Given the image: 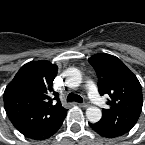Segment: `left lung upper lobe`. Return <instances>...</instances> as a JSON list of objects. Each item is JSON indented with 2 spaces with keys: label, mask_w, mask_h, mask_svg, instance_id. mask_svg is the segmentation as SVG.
<instances>
[{
  "label": "left lung upper lobe",
  "mask_w": 145,
  "mask_h": 145,
  "mask_svg": "<svg viewBox=\"0 0 145 145\" xmlns=\"http://www.w3.org/2000/svg\"><path fill=\"white\" fill-rule=\"evenodd\" d=\"M98 76L101 95L110 99L108 109L97 126L117 136L128 133L136 124L142 111V89L137 77L117 57L110 54H96L89 58Z\"/></svg>",
  "instance_id": "left-lung-upper-lobe-1"
}]
</instances>
